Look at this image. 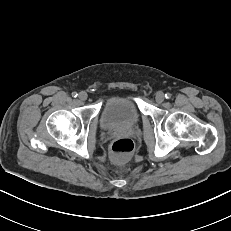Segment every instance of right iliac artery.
I'll return each mask as SVG.
<instances>
[{
  "label": "right iliac artery",
  "mask_w": 231,
  "mask_h": 231,
  "mask_svg": "<svg viewBox=\"0 0 231 231\" xmlns=\"http://www.w3.org/2000/svg\"><path fill=\"white\" fill-rule=\"evenodd\" d=\"M78 96L77 92L72 93V97L76 98Z\"/></svg>",
  "instance_id": "1"
}]
</instances>
